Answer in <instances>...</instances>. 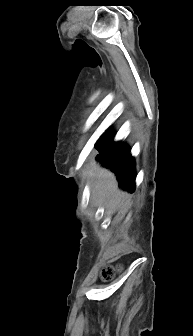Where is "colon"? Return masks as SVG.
I'll return each instance as SVG.
<instances>
[{
    "label": "colon",
    "instance_id": "5ec220e1",
    "mask_svg": "<svg viewBox=\"0 0 193 336\" xmlns=\"http://www.w3.org/2000/svg\"><path fill=\"white\" fill-rule=\"evenodd\" d=\"M120 269H121V266L115 267L112 265H108L104 267V269L102 270V278L105 281L111 280L115 276L117 270H120Z\"/></svg>",
    "mask_w": 193,
    "mask_h": 336
}]
</instances>
